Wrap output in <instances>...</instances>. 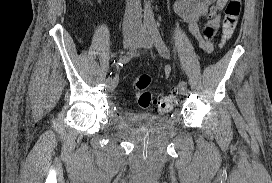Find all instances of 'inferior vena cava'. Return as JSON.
<instances>
[{
  "label": "inferior vena cava",
  "mask_w": 272,
  "mask_h": 183,
  "mask_svg": "<svg viewBox=\"0 0 272 183\" xmlns=\"http://www.w3.org/2000/svg\"><path fill=\"white\" fill-rule=\"evenodd\" d=\"M141 21L140 0H127L123 20L124 30L137 29Z\"/></svg>",
  "instance_id": "602c4592"
}]
</instances>
